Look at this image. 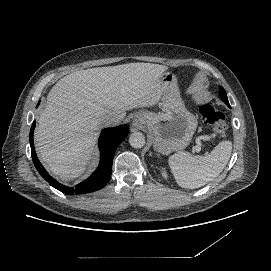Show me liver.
Listing matches in <instances>:
<instances>
[{"instance_id":"1","label":"liver","mask_w":271,"mask_h":271,"mask_svg":"<svg viewBox=\"0 0 271 271\" xmlns=\"http://www.w3.org/2000/svg\"><path fill=\"white\" fill-rule=\"evenodd\" d=\"M167 66L128 63L73 72L49 91L34 132L39 158L63 181L80 177L94 154L101 115L118 118L126 111L157 104L164 92Z\"/></svg>"}]
</instances>
